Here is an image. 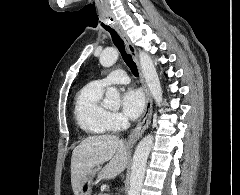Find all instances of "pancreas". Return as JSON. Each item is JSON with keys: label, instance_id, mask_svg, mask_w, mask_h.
I'll return each mask as SVG.
<instances>
[{"label": "pancreas", "instance_id": "cf45deb5", "mask_svg": "<svg viewBox=\"0 0 240 195\" xmlns=\"http://www.w3.org/2000/svg\"><path fill=\"white\" fill-rule=\"evenodd\" d=\"M100 195H109V193H100Z\"/></svg>", "mask_w": 240, "mask_h": 195}]
</instances>
